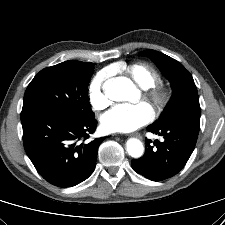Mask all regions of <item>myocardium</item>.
Segmentation results:
<instances>
[{
	"instance_id": "1",
	"label": "myocardium",
	"mask_w": 225,
	"mask_h": 225,
	"mask_svg": "<svg viewBox=\"0 0 225 225\" xmlns=\"http://www.w3.org/2000/svg\"><path fill=\"white\" fill-rule=\"evenodd\" d=\"M145 97L159 110L162 111L169 102L170 93L162 86H152L146 89Z\"/></svg>"
}]
</instances>
